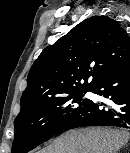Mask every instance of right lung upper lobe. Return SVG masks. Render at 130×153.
<instances>
[{
  "label": "right lung upper lobe",
  "mask_w": 130,
  "mask_h": 153,
  "mask_svg": "<svg viewBox=\"0 0 130 153\" xmlns=\"http://www.w3.org/2000/svg\"><path fill=\"white\" fill-rule=\"evenodd\" d=\"M128 61L130 39L118 22L107 16L87 18L35 60L18 115L71 93L91 91L103 76Z\"/></svg>",
  "instance_id": "cb5924a9"
}]
</instances>
